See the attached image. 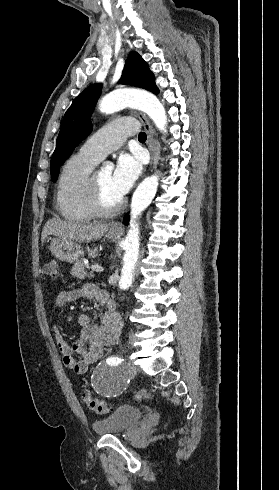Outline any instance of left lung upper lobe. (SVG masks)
<instances>
[{"mask_svg": "<svg viewBox=\"0 0 279 490\" xmlns=\"http://www.w3.org/2000/svg\"><path fill=\"white\" fill-rule=\"evenodd\" d=\"M119 83L141 87L155 94L159 93L155 85L154 75L149 70L148 64L135 51L129 54ZM100 93V84L88 86L73 100L66 111L56 140V149L50 162V172L54 182L58 176L59 166L70 156L74 148L91 133L90 116Z\"/></svg>", "mask_w": 279, "mask_h": 490, "instance_id": "1", "label": "left lung upper lobe"}]
</instances>
